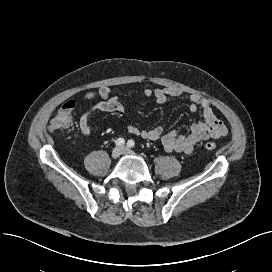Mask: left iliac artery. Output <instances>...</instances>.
I'll return each instance as SVG.
<instances>
[{"label": "left iliac artery", "mask_w": 272, "mask_h": 272, "mask_svg": "<svg viewBox=\"0 0 272 272\" xmlns=\"http://www.w3.org/2000/svg\"><path fill=\"white\" fill-rule=\"evenodd\" d=\"M128 147L133 148L135 146V142L133 140H129L127 142Z\"/></svg>", "instance_id": "left-iliac-artery-1"}]
</instances>
